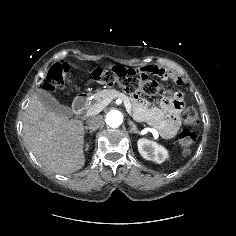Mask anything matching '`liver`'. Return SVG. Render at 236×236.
Returning a JSON list of instances; mask_svg holds the SVG:
<instances>
[{"instance_id":"6515ba94","label":"liver","mask_w":236,"mask_h":236,"mask_svg":"<svg viewBox=\"0 0 236 236\" xmlns=\"http://www.w3.org/2000/svg\"><path fill=\"white\" fill-rule=\"evenodd\" d=\"M24 140L39 162L52 172L69 174L85 164L84 125L48 110L35 93L23 117Z\"/></svg>"}]
</instances>
